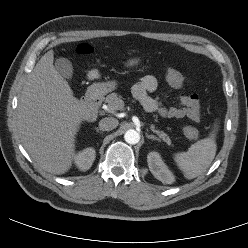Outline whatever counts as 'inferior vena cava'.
Segmentation results:
<instances>
[{
	"mask_svg": "<svg viewBox=\"0 0 248 248\" xmlns=\"http://www.w3.org/2000/svg\"><path fill=\"white\" fill-rule=\"evenodd\" d=\"M119 122L113 117H105L99 122V129L102 131H110L118 126Z\"/></svg>",
	"mask_w": 248,
	"mask_h": 248,
	"instance_id": "602c4592",
	"label": "inferior vena cava"
}]
</instances>
